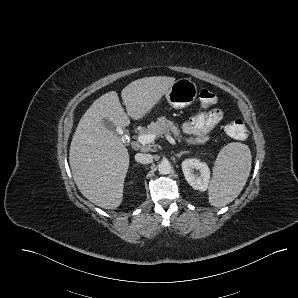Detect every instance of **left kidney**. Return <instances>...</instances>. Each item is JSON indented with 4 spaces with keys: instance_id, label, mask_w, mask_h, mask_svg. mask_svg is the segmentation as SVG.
Returning <instances> with one entry per match:
<instances>
[{
    "instance_id": "left-kidney-1",
    "label": "left kidney",
    "mask_w": 298,
    "mask_h": 298,
    "mask_svg": "<svg viewBox=\"0 0 298 298\" xmlns=\"http://www.w3.org/2000/svg\"><path fill=\"white\" fill-rule=\"evenodd\" d=\"M183 175L188 184L195 190L206 192L211 179V169L207 162L197 157L184 159L181 163ZM194 169L200 170L197 175Z\"/></svg>"
}]
</instances>
